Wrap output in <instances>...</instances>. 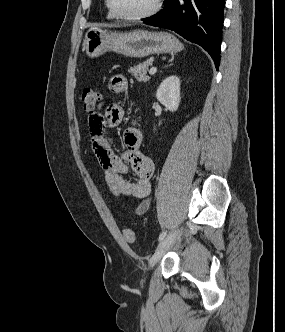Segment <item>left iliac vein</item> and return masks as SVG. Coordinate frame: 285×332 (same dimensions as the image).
Returning a JSON list of instances; mask_svg holds the SVG:
<instances>
[{
  "instance_id": "1",
  "label": "left iliac vein",
  "mask_w": 285,
  "mask_h": 332,
  "mask_svg": "<svg viewBox=\"0 0 285 332\" xmlns=\"http://www.w3.org/2000/svg\"><path fill=\"white\" fill-rule=\"evenodd\" d=\"M178 235V230H174L169 235L166 236L165 239H163L157 249L153 257L150 259L149 265L150 267H153L162 257V255L173 246L176 238Z\"/></svg>"
}]
</instances>
